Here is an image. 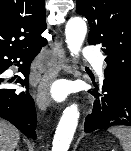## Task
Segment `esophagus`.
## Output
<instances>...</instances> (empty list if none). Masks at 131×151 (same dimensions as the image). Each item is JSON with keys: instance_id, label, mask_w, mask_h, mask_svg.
I'll list each match as a JSON object with an SVG mask.
<instances>
[{"instance_id": "obj_1", "label": "esophagus", "mask_w": 131, "mask_h": 151, "mask_svg": "<svg viewBox=\"0 0 131 151\" xmlns=\"http://www.w3.org/2000/svg\"><path fill=\"white\" fill-rule=\"evenodd\" d=\"M68 62L69 59L66 57L62 42L56 39L53 45V55L50 66L39 82L35 92L36 104L40 111L44 112L50 106L51 98L49 87L62 72L70 69Z\"/></svg>"}]
</instances>
